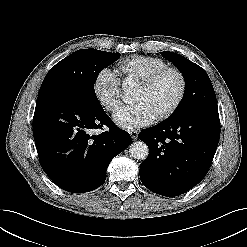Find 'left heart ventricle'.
Segmentation results:
<instances>
[{
	"label": "left heart ventricle",
	"mask_w": 247,
	"mask_h": 247,
	"mask_svg": "<svg viewBox=\"0 0 247 247\" xmlns=\"http://www.w3.org/2000/svg\"><path fill=\"white\" fill-rule=\"evenodd\" d=\"M180 86L181 83L177 74L167 72L149 88L137 86L133 95V102L146 103L158 116L173 104L179 94Z\"/></svg>",
	"instance_id": "left-heart-ventricle-1"
}]
</instances>
